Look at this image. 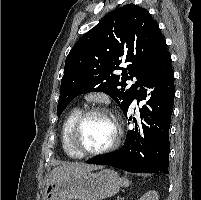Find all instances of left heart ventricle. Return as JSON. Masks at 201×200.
I'll list each match as a JSON object with an SVG mask.
<instances>
[{"instance_id": "obj_1", "label": "left heart ventricle", "mask_w": 201, "mask_h": 200, "mask_svg": "<svg viewBox=\"0 0 201 200\" xmlns=\"http://www.w3.org/2000/svg\"><path fill=\"white\" fill-rule=\"evenodd\" d=\"M114 136V124L103 115H92L81 125L77 140L82 150L94 151L108 145Z\"/></svg>"}]
</instances>
